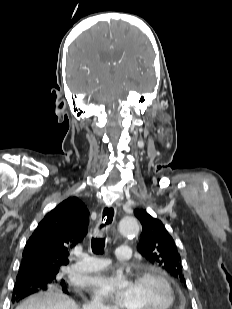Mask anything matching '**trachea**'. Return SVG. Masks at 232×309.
Returning <instances> with one entry per match:
<instances>
[{
	"instance_id": "3493384b",
	"label": "trachea",
	"mask_w": 232,
	"mask_h": 309,
	"mask_svg": "<svg viewBox=\"0 0 232 309\" xmlns=\"http://www.w3.org/2000/svg\"><path fill=\"white\" fill-rule=\"evenodd\" d=\"M91 247L93 253L95 254L102 253L105 247V237H98V238L93 237L91 241Z\"/></svg>"
}]
</instances>
